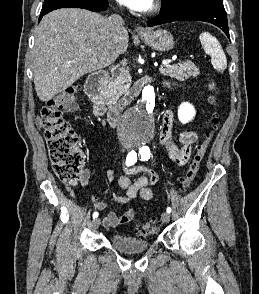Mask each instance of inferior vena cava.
<instances>
[{
    "instance_id": "602c4592",
    "label": "inferior vena cava",
    "mask_w": 259,
    "mask_h": 294,
    "mask_svg": "<svg viewBox=\"0 0 259 294\" xmlns=\"http://www.w3.org/2000/svg\"><path fill=\"white\" fill-rule=\"evenodd\" d=\"M109 27L115 37L124 29V21L118 14H113L108 18Z\"/></svg>"
}]
</instances>
